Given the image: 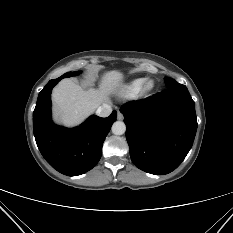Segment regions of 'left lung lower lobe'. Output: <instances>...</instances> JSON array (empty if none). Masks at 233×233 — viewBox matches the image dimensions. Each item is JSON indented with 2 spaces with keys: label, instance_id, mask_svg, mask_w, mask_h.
<instances>
[{
  "label": "left lung lower lobe",
  "instance_id": "obj_1",
  "mask_svg": "<svg viewBox=\"0 0 233 233\" xmlns=\"http://www.w3.org/2000/svg\"><path fill=\"white\" fill-rule=\"evenodd\" d=\"M131 160L139 169L164 175L176 169L192 147L197 119L185 85L128 102L120 109Z\"/></svg>",
  "mask_w": 233,
  "mask_h": 233
}]
</instances>
